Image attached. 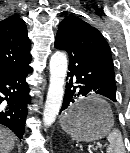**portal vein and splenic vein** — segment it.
<instances>
[{"mask_svg": "<svg viewBox=\"0 0 130 153\" xmlns=\"http://www.w3.org/2000/svg\"><path fill=\"white\" fill-rule=\"evenodd\" d=\"M98 147H99V148H102V145L99 144Z\"/></svg>", "mask_w": 130, "mask_h": 153, "instance_id": "portal-vein-and-splenic-vein-1", "label": "portal vein and splenic vein"}]
</instances>
